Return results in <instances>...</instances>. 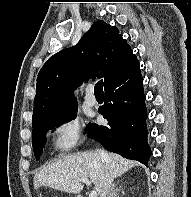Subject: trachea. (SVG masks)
<instances>
[{
    "label": "trachea",
    "instance_id": "trachea-1",
    "mask_svg": "<svg viewBox=\"0 0 191 197\" xmlns=\"http://www.w3.org/2000/svg\"><path fill=\"white\" fill-rule=\"evenodd\" d=\"M94 93L95 94H103V81L100 80L96 83L95 87H94Z\"/></svg>",
    "mask_w": 191,
    "mask_h": 197
}]
</instances>
